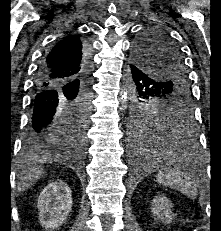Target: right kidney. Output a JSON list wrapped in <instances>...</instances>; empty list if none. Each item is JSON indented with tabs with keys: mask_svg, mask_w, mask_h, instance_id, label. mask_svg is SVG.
Here are the masks:
<instances>
[{
	"mask_svg": "<svg viewBox=\"0 0 221 231\" xmlns=\"http://www.w3.org/2000/svg\"><path fill=\"white\" fill-rule=\"evenodd\" d=\"M72 202V192L67 183L60 180L48 184L37 202L40 224L50 231L60 227L71 212Z\"/></svg>",
	"mask_w": 221,
	"mask_h": 231,
	"instance_id": "ca27d5eb",
	"label": "right kidney"
}]
</instances>
